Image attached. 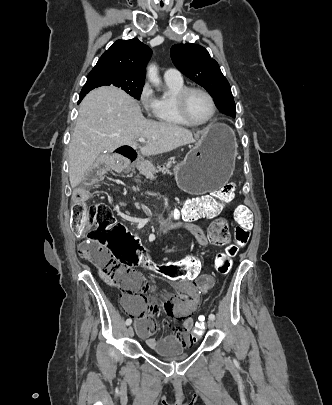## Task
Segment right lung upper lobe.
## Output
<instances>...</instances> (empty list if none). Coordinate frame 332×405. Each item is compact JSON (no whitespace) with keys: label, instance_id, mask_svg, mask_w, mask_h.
<instances>
[{"label":"right lung upper lobe","instance_id":"1","mask_svg":"<svg viewBox=\"0 0 332 405\" xmlns=\"http://www.w3.org/2000/svg\"><path fill=\"white\" fill-rule=\"evenodd\" d=\"M151 55L152 50L137 38L117 40L103 53L91 72H118L145 80V67Z\"/></svg>","mask_w":332,"mask_h":405}]
</instances>
